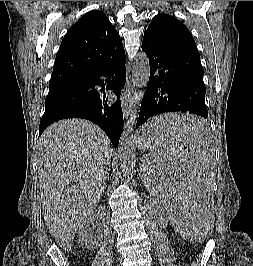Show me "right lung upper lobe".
Masks as SVG:
<instances>
[{"label": "right lung upper lobe", "instance_id": "1", "mask_svg": "<svg viewBox=\"0 0 253 266\" xmlns=\"http://www.w3.org/2000/svg\"><path fill=\"white\" fill-rule=\"evenodd\" d=\"M125 57L122 40L107 16L92 11L64 36L55 59L50 86L78 82Z\"/></svg>", "mask_w": 253, "mask_h": 266}]
</instances>
